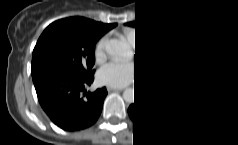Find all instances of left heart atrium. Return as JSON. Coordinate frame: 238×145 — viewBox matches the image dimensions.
<instances>
[{
    "instance_id": "left-heart-atrium-1",
    "label": "left heart atrium",
    "mask_w": 238,
    "mask_h": 145,
    "mask_svg": "<svg viewBox=\"0 0 238 145\" xmlns=\"http://www.w3.org/2000/svg\"><path fill=\"white\" fill-rule=\"evenodd\" d=\"M136 75L131 63L114 61L104 65L98 72V80L109 87L120 88L129 84Z\"/></svg>"
}]
</instances>
